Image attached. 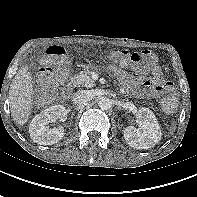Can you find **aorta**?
Masks as SVG:
<instances>
[{"label": "aorta", "instance_id": "1", "mask_svg": "<svg viewBox=\"0 0 197 197\" xmlns=\"http://www.w3.org/2000/svg\"><path fill=\"white\" fill-rule=\"evenodd\" d=\"M98 105L102 110H109L112 106V101L107 97H102L100 98Z\"/></svg>", "mask_w": 197, "mask_h": 197}]
</instances>
